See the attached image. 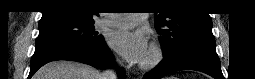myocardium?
I'll return each mask as SVG.
<instances>
[{
	"label": "myocardium",
	"instance_id": "1",
	"mask_svg": "<svg viewBox=\"0 0 255 79\" xmlns=\"http://www.w3.org/2000/svg\"><path fill=\"white\" fill-rule=\"evenodd\" d=\"M148 54V58L143 60L140 64V68L143 70H151L156 68L164 59V50L157 43L151 44Z\"/></svg>",
	"mask_w": 255,
	"mask_h": 79
}]
</instances>
